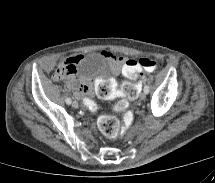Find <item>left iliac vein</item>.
Returning <instances> with one entry per match:
<instances>
[{
  "instance_id": "4c4485c4",
  "label": "left iliac vein",
  "mask_w": 215,
  "mask_h": 183,
  "mask_svg": "<svg viewBox=\"0 0 215 183\" xmlns=\"http://www.w3.org/2000/svg\"><path fill=\"white\" fill-rule=\"evenodd\" d=\"M146 98V93L145 92H142L141 94H140V99L141 100H144Z\"/></svg>"
}]
</instances>
